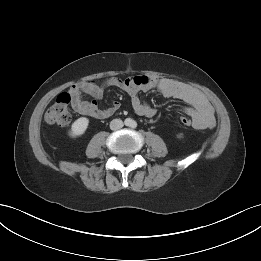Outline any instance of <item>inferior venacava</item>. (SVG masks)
<instances>
[{
    "label": "inferior vena cava",
    "instance_id": "obj_1",
    "mask_svg": "<svg viewBox=\"0 0 261 261\" xmlns=\"http://www.w3.org/2000/svg\"><path fill=\"white\" fill-rule=\"evenodd\" d=\"M124 126L123 121L121 119H113L110 122V129L111 130H118Z\"/></svg>",
    "mask_w": 261,
    "mask_h": 261
}]
</instances>
